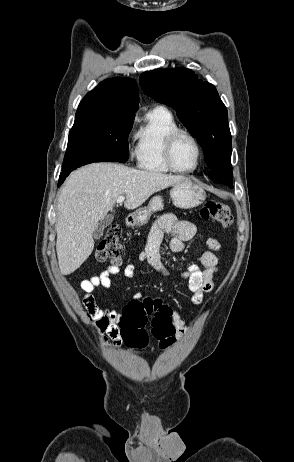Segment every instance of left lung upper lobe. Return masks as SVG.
I'll return each instance as SVG.
<instances>
[{
  "label": "left lung upper lobe",
  "mask_w": 294,
  "mask_h": 462,
  "mask_svg": "<svg viewBox=\"0 0 294 462\" xmlns=\"http://www.w3.org/2000/svg\"><path fill=\"white\" fill-rule=\"evenodd\" d=\"M143 91L176 110L198 140L212 171H232L227 109L214 85L198 80L190 69H156L139 78Z\"/></svg>",
  "instance_id": "5c2ea615"
}]
</instances>
